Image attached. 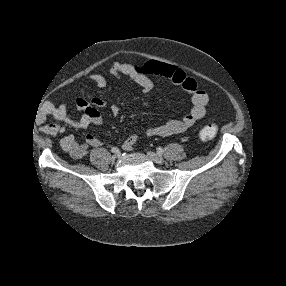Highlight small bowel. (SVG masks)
Returning <instances> with one entry per match:
<instances>
[{"label":"small bowel","instance_id":"c3829d8e","mask_svg":"<svg viewBox=\"0 0 286 286\" xmlns=\"http://www.w3.org/2000/svg\"><path fill=\"white\" fill-rule=\"evenodd\" d=\"M149 71H152V73H149ZM148 74L159 75L181 85L190 96L191 108L181 119H170L162 125L149 128L146 131L147 137L168 136L183 132L204 117L208 104V95L199 88L194 78L177 66L159 62H147L138 65L114 63L106 73L92 74L90 79L97 87L104 88L107 85L108 76H126L143 93H150L154 89L155 84ZM76 104L78 109L83 112L79 118L71 117L64 104L50 106L49 114L56 120L78 129H86L91 124L103 123L104 118L99 108L103 107L105 103L101 98H93L91 102L78 98ZM110 110L114 115H117L120 107L114 103L110 106ZM44 131L52 135L64 133L65 127L58 124H48L44 126ZM137 140L138 137L136 135H130L123 143L124 150H133ZM99 145H101V140L94 135H87L85 143L78 142L72 134H66L60 141L61 149L74 159H80L85 156L89 147Z\"/></svg>","mask_w":286,"mask_h":286}]
</instances>
